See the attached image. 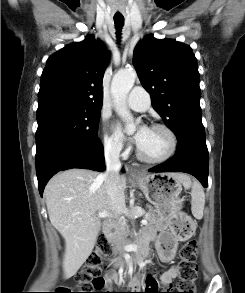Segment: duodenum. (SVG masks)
Listing matches in <instances>:
<instances>
[{
    "instance_id": "duodenum-1",
    "label": "duodenum",
    "mask_w": 245,
    "mask_h": 293,
    "mask_svg": "<svg viewBox=\"0 0 245 293\" xmlns=\"http://www.w3.org/2000/svg\"><path fill=\"white\" fill-rule=\"evenodd\" d=\"M114 222H115L114 219H110L109 221H107L104 224L103 233L105 235H110L112 233L113 227H114ZM145 255H146V246L143 242H140L139 246H138V253L136 254V256L134 258L131 259V263L138 262ZM115 263L119 264V263H123V261L116 260Z\"/></svg>"
}]
</instances>
